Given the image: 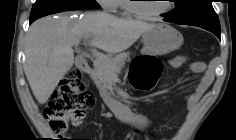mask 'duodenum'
Wrapping results in <instances>:
<instances>
[{"label":"duodenum","mask_w":236,"mask_h":140,"mask_svg":"<svg viewBox=\"0 0 236 140\" xmlns=\"http://www.w3.org/2000/svg\"><path fill=\"white\" fill-rule=\"evenodd\" d=\"M77 65L78 67L85 71V72H89L90 71V66L87 60V56L86 55H80L77 58ZM110 107L112 108V110L122 119H126L127 117H129V110L122 105L121 103L118 102H109Z\"/></svg>","instance_id":"410a0bca"}]
</instances>
